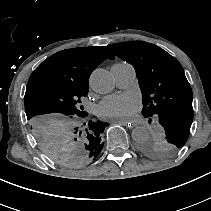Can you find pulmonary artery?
<instances>
[{
	"label": "pulmonary artery",
	"instance_id": "pulmonary-artery-1",
	"mask_svg": "<svg viewBox=\"0 0 211 211\" xmlns=\"http://www.w3.org/2000/svg\"><path fill=\"white\" fill-rule=\"evenodd\" d=\"M111 71L116 79L117 85L126 88L136 80V71L128 63H116L111 67Z\"/></svg>",
	"mask_w": 211,
	"mask_h": 211
}]
</instances>
